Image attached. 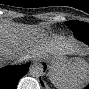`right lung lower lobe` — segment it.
<instances>
[{
  "instance_id": "98d812e1",
  "label": "right lung lower lobe",
  "mask_w": 89,
  "mask_h": 89,
  "mask_svg": "<svg viewBox=\"0 0 89 89\" xmlns=\"http://www.w3.org/2000/svg\"><path fill=\"white\" fill-rule=\"evenodd\" d=\"M29 70V64L7 66L0 70V85L3 89H15L21 77Z\"/></svg>"
}]
</instances>
